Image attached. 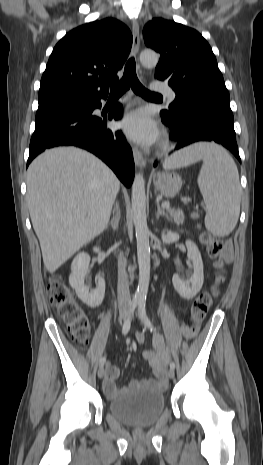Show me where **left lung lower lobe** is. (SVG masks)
Returning <instances> with one entry per match:
<instances>
[{
  "label": "left lung lower lobe",
  "mask_w": 263,
  "mask_h": 465,
  "mask_svg": "<svg viewBox=\"0 0 263 465\" xmlns=\"http://www.w3.org/2000/svg\"><path fill=\"white\" fill-rule=\"evenodd\" d=\"M160 115L162 122L171 129L175 149L198 141H211L226 147L241 161L230 105L215 102L186 104L174 112L162 110Z\"/></svg>",
  "instance_id": "obj_1"
}]
</instances>
